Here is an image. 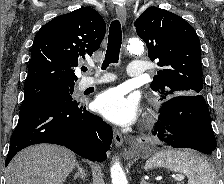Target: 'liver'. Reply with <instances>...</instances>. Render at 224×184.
Here are the masks:
<instances>
[{"mask_svg": "<svg viewBox=\"0 0 224 184\" xmlns=\"http://www.w3.org/2000/svg\"><path fill=\"white\" fill-rule=\"evenodd\" d=\"M76 165L75 154L51 144L20 151L6 169V184H63Z\"/></svg>", "mask_w": 224, "mask_h": 184, "instance_id": "obj_1", "label": "liver"}]
</instances>
